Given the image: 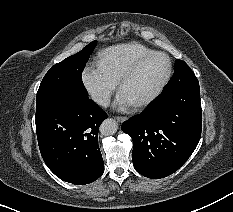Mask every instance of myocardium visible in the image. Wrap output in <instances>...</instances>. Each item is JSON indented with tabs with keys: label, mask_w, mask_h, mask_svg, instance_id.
Returning <instances> with one entry per match:
<instances>
[{
	"label": "myocardium",
	"mask_w": 233,
	"mask_h": 212,
	"mask_svg": "<svg viewBox=\"0 0 233 212\" xmlns=\"http://www.w3.org/2000/svg\"><path fill=\"white\" fill-rule=\"evenodd\" d=\"M161 55L164 56L167 59L168 67L167 72L161 82L157 85V87L144 99L141 101H138L136 103H133L132 105L135 108H142L146 107L149 104H151L162 92L166 84L168 83L171 74H172V61L168 54L162 51H152L150 53H147L140 57L138 60H136L129 68L128 70L123 74L121 79L119 80V89L122 91L124 85L138 72L140 67L151 57Z\"/></svg>",
	"instance_id": "1"
}]
</instances>
